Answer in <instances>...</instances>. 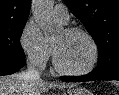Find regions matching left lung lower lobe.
I'll return each mask as SVG.
<instances>
[{
	"instance_id": "1",
	"label": "left lung lower lobe",
	"mask_w": 119,
	"mask_h": 95,
	"mask_svg": "<svg viewBox=\"0 0 119 95\" xmlns=\"http://www.w3.org/2000/svg\"><path fill=\"white\" fill-rule=\"evenodd\" d=\"M60 79L69 82H85L93 80H119V68H115L114 70L105 74L93 70L92 72L84 76H61Z\"/></svg>"
}]
</instances>
